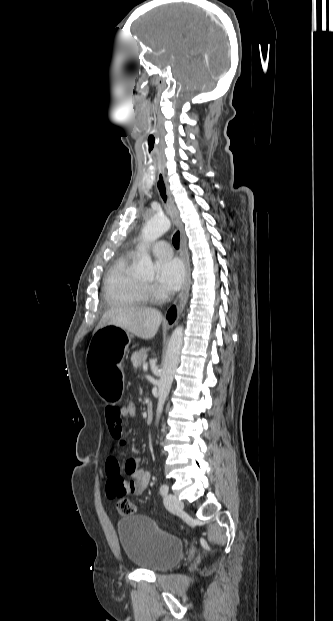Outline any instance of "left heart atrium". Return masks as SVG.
<instances>
[{
	"label": "left heart atrium",
	"mask_w": 333,
	"mask_h": 621,
	"mask_svg": "<svg viewBox=\"0 0 333 621\" xmlns=\"http://www.w3.org/2000/svg\"><path fill=\"white\" fill-rule=\"evenodd\" d=\"M185 281V268L178 259L161 261L157 266V284L166 292L179 290Z\"/></svg>",
	"instance_id": "1"
}]
</instances>
